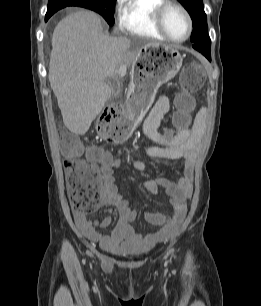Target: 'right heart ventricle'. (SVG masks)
Segmentation results:
<instances>
[{
  "label": "right heart ventricle",
  "instance_id": "e07e8e85",
  "mask_svg": "<svg viewBox=\"0 0 261 306\" xmlns=\"http://www.w3.org/2000/svg\"><path fill=\"white\" fill-rule=\"evenodd\" d=\"M165 0H123L120 29L147 39L165 40L154 23V13Z\"/></svg>",
  "mask_w": 261,
  "mask_h": 306
}]
</instances>
